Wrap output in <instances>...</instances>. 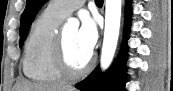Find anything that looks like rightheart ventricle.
<instances>
[{
    "mask_svg": "<svg viewBox=\"0 0 173 91\" xmlns=\"http://www.w3.org/2000/svg\"><path fill=\"white\" fill-rule=\"evenodd\" d=\"M62 21L63 18L47 9L32 25L23 56V72L29 79L44 84L63 80L53 61L58 26Z\"/></svg>",
    "mask_w": 173,
    "mask_h": 91,
    "instance_id": "1",
    "label": "right heart ventricle"
}]
</instances>
